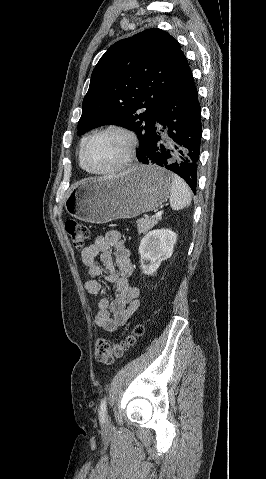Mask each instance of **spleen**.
I'll use <instances>...</instances> for the list:
<instances>
[{
	"label": "spleen",
	"mask_w": 266,
	"mask_h": 479,
	"mask_svg": "<svg viewBox=\"0 0 266 479\" xmlns=\"http://www.w3.org/2000/svg\"><path fill=\"white\" fill-rule=\"evenodd\" d=\"M191 204V193L188 185L177 175H172L170 187V205L175 211L189 207Z\"/></svg>",
	"instance_id": "3e777b00"
}]
</instances>
